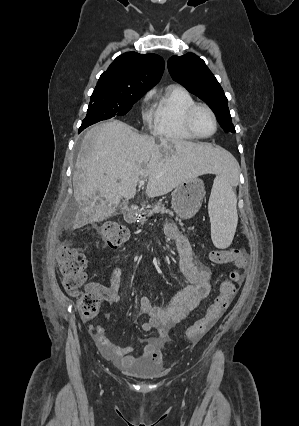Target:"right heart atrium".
I'll use <instances>...</instances> for the list:
<instances>
[{"instance_id": "1", "label": "right heart atrium", "mask_w": 299, "mask_h": 426, "mask_svg": "<svg viewBox=\"0 0 299 426\" xmlns=\"http://www.w3.org/2000/svg\"><path fill=\"white\" fill-rule=\"evenodd\" d=\"M149 98H150V94H147L144 97V106L142 108V118H143V120H144L145 123H150L151 120H152V118H153L152 113L147 108V103H148Z\"/></svg>"}]
</instances>
